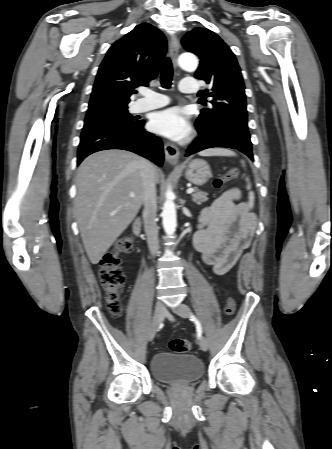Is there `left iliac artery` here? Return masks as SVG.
Returning <instances> with one entry per match:
<instances>
[{
	"label": "left iliac artery",
	"instance_id": "1",
	"mask_svg": "<svg viewBox=\"0 0 332 449\" xmlns=\"http://www.w3.org/2000/svg\"><path fill=\"white\" fill-rule=\"evenodd\" d=\"M191 320L194 321L196 324L197 337L198 338L202 337V326H201L200 322L194 315L191 316Z\"/></svg>",
	"mask_w": 332,
	"mask_h": 449
}]
</instances>
